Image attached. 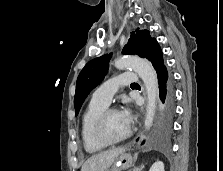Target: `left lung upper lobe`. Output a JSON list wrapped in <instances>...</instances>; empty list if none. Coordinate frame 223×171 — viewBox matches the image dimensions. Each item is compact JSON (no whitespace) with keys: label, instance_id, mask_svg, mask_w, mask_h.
<instances>
[{"label":"left lung upper lobe","instance_id":"obj_1","mask_svg":"<svg viewBox=\"0 0 223 171\" xmlns=\"http://www.w3.org/2000/svg\"><path fill=\"white\" fill-rule=\"evenodd\" d=\"M156 42L151 38L148 30L136 29L132 32L127 44L124 46L123 54L138 55L146 58L151 46ZM112 54H105L89 61L80 72L74 98L75 114L78 115L80 108L90 91L95 88L104 78L108 71V63Z\"/></svg>","mask_w":223,"mask_h":171}]
</instances>
